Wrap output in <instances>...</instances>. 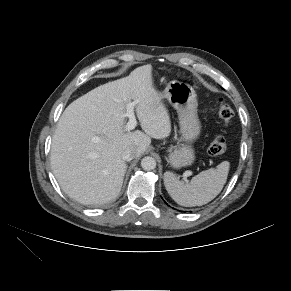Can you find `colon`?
Returning a JSON list of instances; mask_svg holds the SVG:
<instances>
[{"label": "colon", "instance_id": "colon-1", "mask_svg": "<svg viewBox=\"0 0 291 291\" xmlns=\"http://www.w3.org/2000/svg\"><path fill=\"white\" fill-rule=\"evenodd\" d=\"M218 115L223 124L227 126L233 118V109L223 98L218 100ZM227 149V141L223 135L216 136L208 147V152L212 156L223 154Z\"/></svg>", "mask_w": 291, "mask_h": 291}]
</instances>
